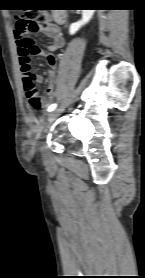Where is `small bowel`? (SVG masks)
Here are the masks:
<instances>
[{
    "label": "small bowel",
    "instance_id": "c3829d8e",
    "mask_svg": "<svg viewBox=\"0 0 145 278\" xmlns=\"http://www.w3.org/2000/svg\"><path fill=\"white\" fill-rule=\"evenodd\" d=\"M45 35H47L49 38H51L52 42L47 46V49L44 52V57L47 61V64L49 65V87L47 88V94H50V91L53 89L56 80H57V60L54 57L53 60L47 59L46 53L47 52H55L56 50L62 48L64 46L65 40L63 37V34L61 32V29L57 25H51L44 29ZM16 43L19 49V46L22 45V42L24 39L29 38L28 30L23 31L21 33H15ZM28 54H20V69H21V77L22 81L24 83V71L23 68L29 63V57ZM30 71H32L30 66ZM41 77H38V81H41Z\"/></svg>",
    "mask_w": 145,
    "mask_h": 278
}]
</instances>
